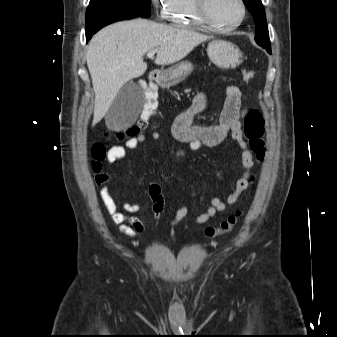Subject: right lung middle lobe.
<instances>
[{
    "instance_id": "right-lung-middle-lobe-1",
    "label": "right lung middle lobe",
    "mask_w": 337,
    "mask_h": 337,
    "mask_svg": "<svg viewBox=\"0 0 337 337\" xmlns=\"http://www.w3.org/2000/svg\"><path fill=\"white\" fill-rule=\"evenodd\" d=\"M117 13L149 17L150 0H90L86 23L103 15Z\"/></svg>"
}]
</instances>
